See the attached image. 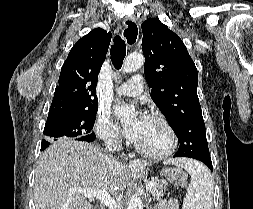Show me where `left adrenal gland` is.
Instances as JSON below:
<instances>
[{
    "label": "left adrenal gland",
    "mask_w": 253,
    "mask_h": 209,
    "mask_svg": "<svg viewBox=\"0 0 253 209\" xmlns=\"http://www.w3.org/2000/svg\"><path fill=\"white\" fill-rule=\"evenodd\" d=\"M151 202V198H149V200H148V204ZM151 209H154V208H151Z\"/></svg>",
    "instance_id": "obj_1"
}]
</instances>
